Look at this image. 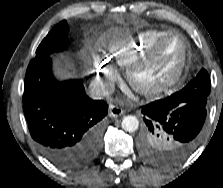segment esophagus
Segmentation results:
<instances>
[{"instance_id": "obj_1", "label": "esophagus", "mask_w": 223, "mask_h": 188, "mask_svg": "<svg viewBox=\"0 0 223 188\" xmlns=\"http://www.w3.org/2000/svg\"><path fill=\"white\" fill-rule=\"evenodd\" d=\"M125 111L117 105L112 103L109 104V116L110 117H119L123 115Z\"/></svg>"}]
</instances>
